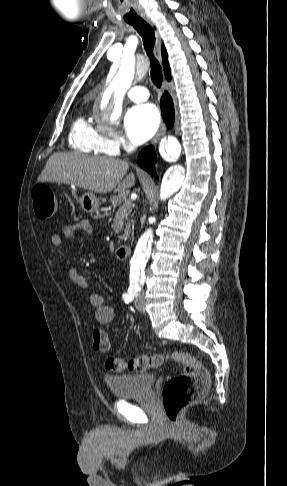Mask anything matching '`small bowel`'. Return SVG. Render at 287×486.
<instances>
[{
	"label": "small bowel",
	"instance_id": "1",
	"mask_svg": "<svg viewBox=\"0 0 287 486\" xmlns=\"http://www.w3.org/2000/svg\"><path fill=\"white\" fill-rule=\"evenodd\" d=\"M94 226L89 219H82L74 224L62 227L59 232H56L51 237V242L55 247L63 248L65 246L64 240L73 239L78 232L93 233ZM69 277L73 283L83 289H89L88 280L76 268H71ZM91 305L95 308V319L101 325L110 324L115 318L114 309L106 305L104 298L99 293H91L89 297Z\"/></svg>",
	"mask_w": 287,
	"mask_h": 486
}]
</instances>
